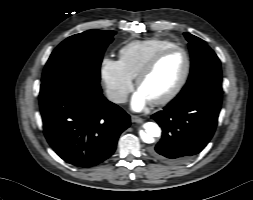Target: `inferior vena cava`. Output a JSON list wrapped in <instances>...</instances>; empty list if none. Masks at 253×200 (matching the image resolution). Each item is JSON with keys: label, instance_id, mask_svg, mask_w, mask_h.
<instances>
[{"label": "inferior vena cava", "instance_id": "602c4592", "mask_svg": "<svg viewBox=\"0 0 253 200\" xmlns=\"http://www.w3.org/2000/svg\"><path fill=\"white\" fill-rule=\"evenodd\" d=\"M107 98L114 103H125L127 101V94L121 91H108Z\"/></svg>", "mask_w": 253, "mask_h": 200}]
</instances>
